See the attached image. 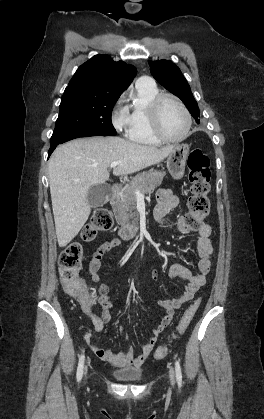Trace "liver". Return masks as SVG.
Instances as JSON below:
<instances>
[{"label":"liver","instance_id":"liver-1","mask_svg":"<svg viewBox=\"0 0 264 419\" xmlns=\"http://www.w3.org/2000/svg\"><path fill=\"white\" fill-rule=\"evenodd\" d=\"M173 150L141 145L120 137L75 139L56 148L49 164V185L58 245L65 247L82 229L91 212L87 194L91 186L115 176L132 174L165 159Z\"/></svg>","mask_w":264,"mask_h":419}]
</instances>
